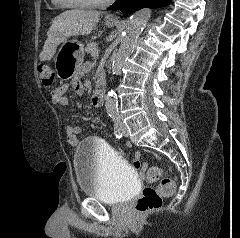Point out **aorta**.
<instances>
[{
	"instance_id": "762f6f07",
	"label": "aorta",
	"mask_w": 240,
	"mask_h": 238,
	"mask_svg": "<svg viewBox=\"0 0 240 238\" xmlns=\"http://www.w3.org/2000/svg\"><path fill=\"white\" fill-rule=\"evenodd\" d=\"M151 17V9L144 8L130 17L122 42L117 53L113 57L111 72L116 74L128 59L135 48L136 42ZM105 108L107 113L115 117L118 114V102L115 93L111 90L107 93Z\"/></svg>"
}]
</instances>
